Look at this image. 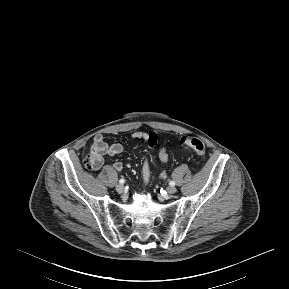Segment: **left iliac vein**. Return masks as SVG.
<instances>
[{"label": "left iliac vein", "instance_id": "left-iliac-vein-1", "mask_svg": "<svg viewBox=\"0 0 289 289\" xmlns=\"http://www.w3.org/2000/svg\"><path fill=\"white\" fill-rule=\"evenodd\" d=\"M176 191H177V189H176V187H174V186H169V187L167 188V192H168L169 194H174V193H176Z\"/></svg>", "mask_w": 289, "mask_h": 289}]
</instances>
